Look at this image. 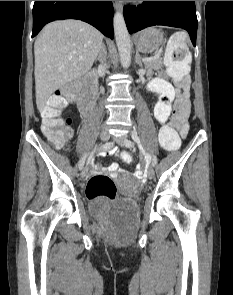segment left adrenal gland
<instances>
[{
  "label": "left adrenal gland",
  "instance_id": "obj_1",
  "mask_svg": "<svg viewBox=\"0 0 233 295\" xmlns=\"http://www.w3.org/2000/svg\"><path fill=\"white\" fill-rule=\"evenodd\" d=\"M135 62H136V64L139 65L140 67L143 66V64H142V59H141V56H140L138 50H136Z\"/></svg>",
  "mask_w": 233,
  "mask_h": 295
}]
</instances>
